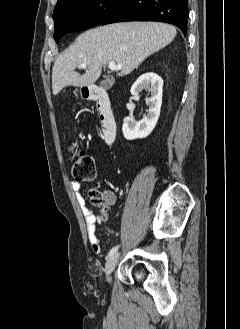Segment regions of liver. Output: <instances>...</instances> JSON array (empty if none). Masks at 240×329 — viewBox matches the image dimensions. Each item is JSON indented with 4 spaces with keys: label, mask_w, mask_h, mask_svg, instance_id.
<instances>
[{
    "label": "liver",
    "mask_w": 240,
    "mask_h": 329,
    "mask_svg": "<svg viewBox=\"0 0 240 329\" xmlns=\"http://www.w3.org/2000/svg\"><path fill=\"white\" fill-rule=\"evenodd\" d=\"M176 34L174 26L157 22L115 23L90 29L79 35L55 61L53 94L69 85H92L109 62L123 65L117 76L128 75L147 57L171 43ZM83 63L87 70L81 75L75 69Z\"/></svg>",
    "instance_id": "liver-1"
}]
</instances>
